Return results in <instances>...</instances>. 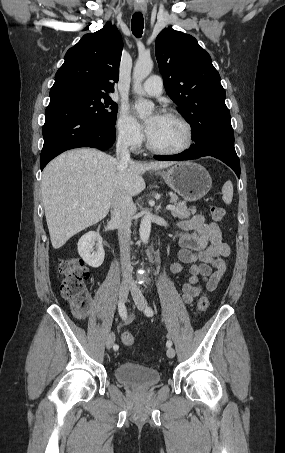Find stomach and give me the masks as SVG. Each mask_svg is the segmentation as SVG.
I'll return each instance as SVG.
<instances>
[{"instance_id":"1","label":"stomach","mask_w":285,"mask_h":453,"mask_svg":"<svg viewBox=\"0 0 285 453\" xmlns=\"http://www.w3.org/2000/svg\"><path fill=\"white\" fill-rule=\"evenodd\" d=\"M158 174L175 193L189 202L203 198L212 187L209 172L195 162H179Z\"/></svg>"}]
</instances>
